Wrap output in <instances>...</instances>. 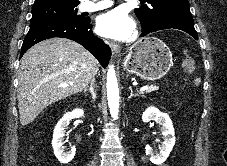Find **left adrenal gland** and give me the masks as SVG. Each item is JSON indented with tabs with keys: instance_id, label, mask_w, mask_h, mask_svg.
<instances>
[{
	"instance_id": "1",
	"label": "left adrenal gland",
	"mask_w": 227,
	"mask_h": 166,
	"mask_svg": "<svg viewBox=\"0 0 227 166\" xmlns=\"http://www.w3.org/2000/svg\"><path fill=\"white\" fill-rule=\"evenodd\" d=\"M129 90H130V96L128 97V100L131 99L133 96H135L133 94V90H132V87L131 86L129 87Z\"/></svg>"
}]
</instances>
